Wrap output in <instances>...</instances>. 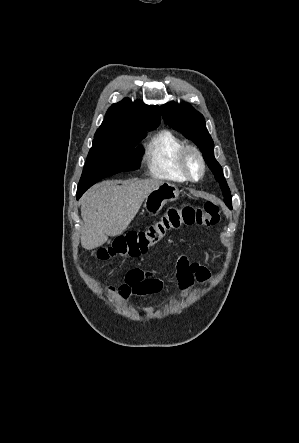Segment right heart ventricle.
Listing matches in <instances>:
<instances>
[{"mask_svg": "<svg viewBox=\"0 0 299 443\" xmlns=\"http://www.w3.org/2000/svg\"><path fill=\"white\" fill-rule=\"evenodd\" d=\"M186 145V142L171 130L156 133L146 147L145 162L149 174L174 182L187 180L179 166L180 152Z\"/></svg>", "mask_w": 299, "mask_h": 443, "instance_id": "1", "label": "right heart ventricle"}]
</instances>
